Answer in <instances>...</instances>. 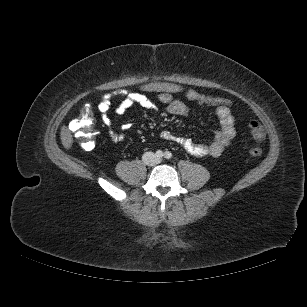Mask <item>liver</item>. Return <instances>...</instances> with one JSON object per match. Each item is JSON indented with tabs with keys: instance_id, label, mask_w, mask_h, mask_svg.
Here are the masks:
<instances>
[{
	"instance_id": "obj_1",
	"label": "liver",
	"mask_w": 307,
	"mask_h": 307,
	"mask_svg": "<svg viewBox=\"0 0 307 307\" xmlns=\"http://www.w3.org/2000/svg\"><path fill=\"white\" fill-rule=\"evenodd\" d=\"M139 91L147 92V93H154L156 91L160 93H181L184 91L185 86L181 82H162L161 79L156 78L153 82L141 83L138 86ZM61 142L66 149H69L73 143L72 135L69 129L66 126L61 127Z\"/></svg>"
}]
</instances>
